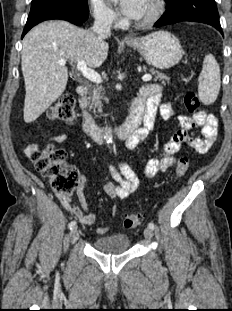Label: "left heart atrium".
<instances>
[{
    "instance_id": "obj_1",
    "label": "left heart atrium",
    "mask_w": 232,
    "mask_h": 311,
    "mask_svg": "<svg viewBox=\"0 0 232 311\" xmlns=\"http://www.w3.org/2000/svg\"><path fill=\"white\" fill-rule=\"evenodd\" d=\"M117 4L126 17L138 19L145 10L147 0H116Z\"/></svg>"
}]
</instances>
